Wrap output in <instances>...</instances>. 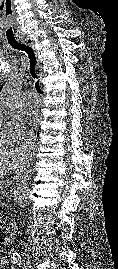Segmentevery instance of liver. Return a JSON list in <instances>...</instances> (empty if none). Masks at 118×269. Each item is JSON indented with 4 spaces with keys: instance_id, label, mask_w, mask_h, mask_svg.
I'll list each match as a JSON object with an SVG mask.
<instances>
[{
    "instance_id": "liver-1",
    "label": "liver",
    "mask_w": 118,
    "mask_h": 269,
    "mask_svg": "<svg viewBox=\"0 0 118 269\" xmlns=\"http://www.w3.org/2000/svg\"><path fill=\"white\" fill-rule=\"evenodd\" d=\"M26 153L18 148L0 149V179L11 171L22 172L26 166Z\"/></svg>"
}]
</instances>
